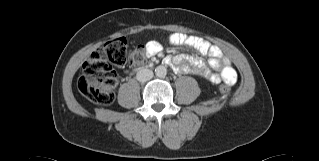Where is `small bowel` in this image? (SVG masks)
I'll list each match as a JSON object with an SVG mask.
<instances>
[{
    "label": "small bowel",
    "mask_w": 319,
    "mask_h": 161,
    "mask_svg": "<svg viewBox=\"0 0 319 161\" xmlns=\"http://www.w3.org/2000/svg\"><path fill=\"white\" fill-rule=\"evenodd\" d=\"M169 40L175 45L188 46L202 55L209 56V66L213 70H219L220 73L211 71L207 68L205 62L196 56L181 53L175 55L172 59L168 60L171 67L184 74H193L199 77H204L212 83H220L224 81L228 84H233L236 80L237 74L235 69L230 64L227 58L222 57V51L219 47L210 44L208 41L192 35L174 32L169 35ZM159 45L160 50L158 53H153V48ZM146 51L149 55H162V45L159 41H149L146 44Z\"/></svg>",
    "instance_id": "obj_1"
}]
</instances>
